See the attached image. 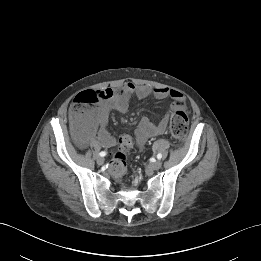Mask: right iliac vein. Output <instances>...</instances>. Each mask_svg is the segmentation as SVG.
<instances>
[{
  "mask_svg": "<svg viewBox=\"0 0 261 261\" xmlns=\"http://www.w3.org/2000/svg\"><path fill=\"white\" fill-rule=\"evenodd\" d=\"M96 162H97L98 165H103L104 164V158L98 157Z\"/></svg>",
  "mask_w": 261,
  "mask_h": 261,
  "instance_id": "obj_1",
  "label": "right iliac vein"
}]
</instances>
